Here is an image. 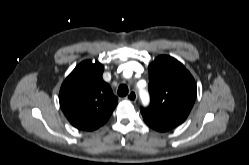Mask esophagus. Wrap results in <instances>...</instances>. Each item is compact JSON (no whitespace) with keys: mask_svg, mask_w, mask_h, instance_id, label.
<instances>
[{"mask_svg":"<svg viewBox=\"0 0 249 165\" xmlns=\"http://www.w3.org/2000/svg\"><path fill=\"white\" fill-rule=\"evenodd\" d=\"M126 99L131 101V102H136L137 93L135 91H130L129 94L127 95Z\"/></svg>","mask_w":249,"mask_h":165,"instance_id":"1","label":"esophagus"}]
</instances>
